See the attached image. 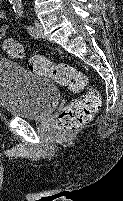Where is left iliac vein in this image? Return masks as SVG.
Returning <instances> with one entry per match:
<instances>
[{
	"label": "left iliac vein",
	"mask_w": 123,
	"mask_h": 201,
	"mask_svg": "<svg viewBox=\"0 0 123 201\" xmlns=\"http://www.w3.org/2000/svg\"><path fill=\"white\" fill-rule=\"evenodd\" d=\"M34 24H35V30H36L34 37H37V38L42 37L43 36V27H42L41 23L36 20Z\"/></svg>",
	"instance_id": "left-iliac-vein-1"
}]
</instances>
